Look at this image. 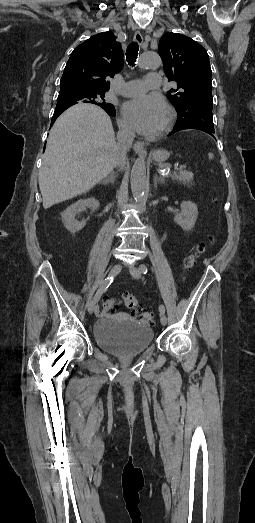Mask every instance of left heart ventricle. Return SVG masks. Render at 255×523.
Instances as JSON below:
<instances>
[{"mask_svg": "<svg viewBox=\"0 0 255 523\" xmlns=\"http://www.w3.org/2000/svg\"><path fill=\"white\" fill-rule=\"evenodd\" d=\"M168 120H169V112H168L167 108H165V110L160 118V121H159V127H158L157 134H160L164 131V129L166 128V126L168 124Z\"/></svg>", "mask_w": 255, "mask_h": 523, "instance_id": "left-heart-ventricle-1", "label": "left heart ventricle"}]
</instances>
